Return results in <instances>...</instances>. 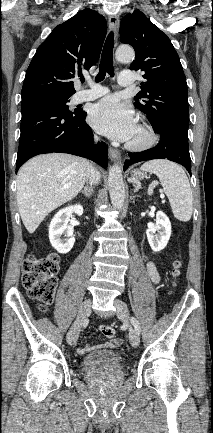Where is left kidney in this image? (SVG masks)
<instances>
[{"label": "left kidney", "mask_w": 213, "mask_h": 433, "mask_svg": "<svg viewBox=\"0 0 213 433\" xmlns=\"http://www.w3.org/2000/svg\"><path fill=\"white\" fill-rule=\"evenodd\" d=\"M147 239L154 252L163 250L171 236V223L169 218L162 211L156 213V224L146 230Z\"/></svg>", "instance_id": "obj_1"}]
</instances>
